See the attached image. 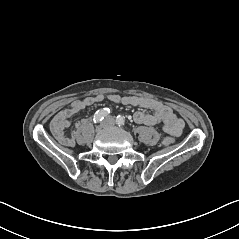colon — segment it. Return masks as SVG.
Listing matches in <instances>:
<instances>
[{
    "mask_svg": "<svg viewBox=\"0 0 239 239\" xmlns=\"http://www.w3.org/2000/svg\"><path fill=\"white\" fill-rule=\"evenodd\" d=\"M173 142V138L172 137H166L162 140V145L163 146H169L170 144H172Z\"/></svg>",
    "mask_w": 239,
    "mask_h": 239,
    "instance_id": "obj_1",
    "label": "colon"
}]
</instances>
